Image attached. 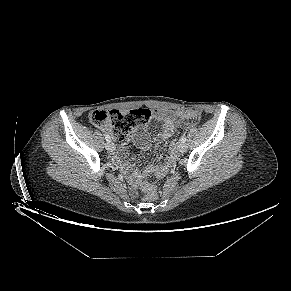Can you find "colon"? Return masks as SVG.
<instances>
[{"instance_id":"5ec220e1","label":"colon","mask_w":291,"mask_h":291,"mask_svg":"<svg viewBox=\"0 0 291 291\" xmlns=\"http://www.w3.org/2000/svg\"><path fill=\"white\" fill-rule=\"evenodd\" d=\"M178 115L187 119H200V113L194 110H183ZM150 117L151 111L145 108L128 111L97 110L91 113L90 121L93 125L106 129L113 140L122 142L136 127L147 123ZM143 193L147 200H153L157 196L156 187L149 182L143 184Z\"/></svg>"}]
</instances>
